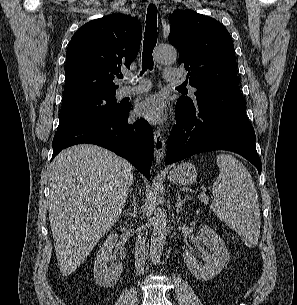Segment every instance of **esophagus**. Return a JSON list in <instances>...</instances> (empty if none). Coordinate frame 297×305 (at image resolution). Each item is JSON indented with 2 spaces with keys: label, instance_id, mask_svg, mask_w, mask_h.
<instances>
[{
  "label": "esophagus",
  "instance_id": "esophagus-1",
  "mask_svg": "<svg viewBox=\"0 0 297 305\" xmlns=\"http://www.w3.org/2000/svg\"><path fill=\"white\" fill-rule=\"evenodd\" d=\"M150 3L158 5L160 0H148ZM166 144L161 130L154 131V158L157 164L164 158Z\"/></svg>",
  "mask_w": 297,
  "mask_h": 305
}]
</instances>
